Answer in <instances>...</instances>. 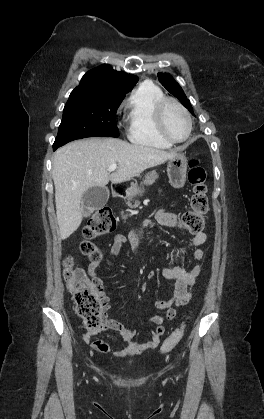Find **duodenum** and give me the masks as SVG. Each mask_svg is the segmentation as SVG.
Returning <instances> with one entry per match:
<instances>
[{
    "mask_svg": "<svg viewBox=\"0 0 264 419\" xmlns=\"http://www.w3.org/2000/svg\"><path fill=\"white\" fill-rule=\"evenodd\" d=\"M125 187L122 184H115L112 187V194L115 198L123 196Z\"/></svg>",
    "mask_w": 264,
    "mask_h": 419,
    "instance_id": "1",
    "label": "duodenum"
}]
</instances>
